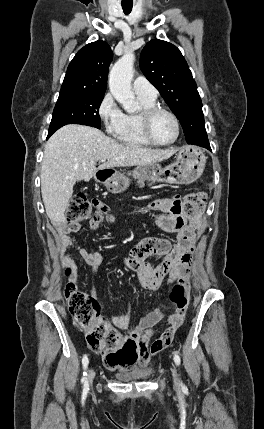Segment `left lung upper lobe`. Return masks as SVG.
I'll return each instance as SVG.
<instances>
[{"instance_id": "obj_1", "label": "left lung upper lobe", "mask_w": 264, "mask_h": 429, "mask_svg": "<svg viewBox=\"0 0 264 429\" xmlns=\"http://www.w3.org/2000/svg\"><path fill=\"white\" fill-rule=\"evenodd\" d=\"M140 68L178 117L187 143H209L197 86L179 49L151 40L141 52Z\"/></svg>"}]
</instances>
